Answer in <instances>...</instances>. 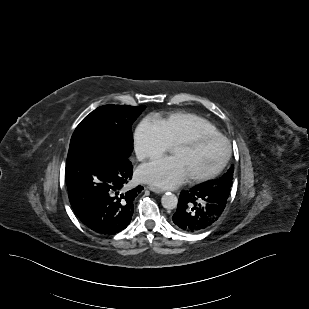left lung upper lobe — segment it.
<instances>
[{
  "instance_id": "obj_1",
  "label": "left lung upper lobe",
  "mask_w": 309,
  "mask_h": 309,
  "mask_svg": "<svg viewBox=\"0 0 309 309\" xmlns=\"http://www.w3.org/2000/svg\"><path fill=\"white\" fill-rule=\"evenodd\" d=\"M233 172H234V166L232 165L230 169L227 171V173H225L221 178L217 180L208 181L203 184H205L207 187L210 188L230 192Z\"/></svg>"
}]
</instances>
